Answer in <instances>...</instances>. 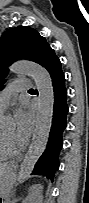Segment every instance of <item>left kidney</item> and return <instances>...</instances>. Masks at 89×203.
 <instances>
[{
    "label": "left kidney",
    "mask_w": 89,
    "mask_h": 203,
    "mask_svg": "<svg viewBox=\"0 0 89 203\" xmlns=\"http://www.w3.org/2000/svg\"><path fill=\"white\" fill-rule=\"evenodd\" d=\"M39 191L36 193V199L32 202V203H42V186L41 184H37L35 185ZM23 203H26V202H23Z\"/></svg>",
    "instance_id": "obj_1"
}]
</instances>
